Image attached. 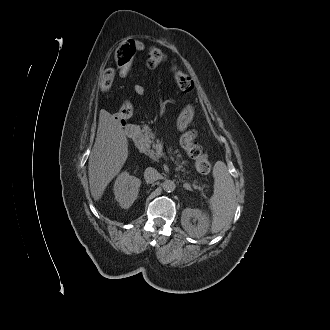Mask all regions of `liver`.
I'll use <instances>...</instances> for the list:
<instances>
[{
  "label": "liver",
  "instance_id": "1",
  "mask_svg": "<svg viewBox=\"0 0 330 330\" xmlns=\"http://www.w3.org/2000/svg\"><path fill=\"white\" fill-rule=\"evenodd\" d=\"M127 157L128 141L125 131L113 115L101 110L97 135L88 162L89 186L94 200L101 198Z\"/></svg>",
  "mask_w": 330,
  "mask_h": 330
}]
</instances>
